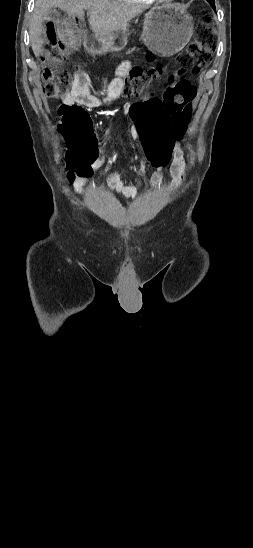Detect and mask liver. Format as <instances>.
Returning a JSON list of instances; mask_svg holds the SVG:
<instances>
[{
	"label": "liver",
	"mask_w": 253,
	"mask_h": 548,
	"mask_svg": "<svg viewBox=\"0 0 253 548\" xmlns=\"http://www.w3.org/2000/svg\"><path fill=\"white\" fill-rule=\"evenodd\" d=\"M82 18L88 12L90 29L96 36L112 37L126 30L127 23L140 14V6L114 0H36L29 27L30 43L35 56L45 42L43 21L52 8Z\"/></svg>",
	"instance_id": "1"
}]
</instances>
